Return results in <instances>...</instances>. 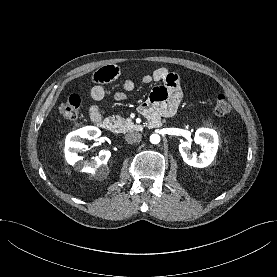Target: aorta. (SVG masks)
<instances>
[{"instance_id":"1","label":"aorta","mask_w":277,"mask_h":277,"mask_svg":"<svg viewBox=\"0 0 277 277\" xmlns=\"http://www.w3.org/2000/svg\"><path fill=\"white\" fill-rule=\"evenodd\" d=\"M150 142L152 144H158L160 142V136L158 134H152L150 136Z\"/></svg>"}]
</instances>
